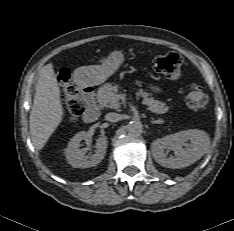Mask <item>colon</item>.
I'll return each mask as SVG.
<instances>
[{"instance_id":"obj_1","label":"colon","mask_w":234,"mask_h":231,"mask_svg":"<svg viewBox=\"0 0 234 231\" xmlns=\"http://www.w3.org/2000/svg\"><path fill=\"white\" fill-rule=\"evenodd\" d=\"M183 63V58L179 54L168 53L156 58L153 67L168 79L177 80L181 76ZM59 82L65 115L71 123H76L83 112V104L77 89L70 83V75L67 69L60 71ZM185 103L190 110H202L208 105V97L200 86L193 85L186 96Z\"/></svg>"}]
</instances>
